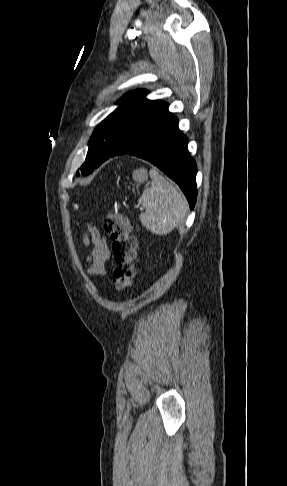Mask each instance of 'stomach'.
I'll list each match as a JSON object with an SVG mask.
<instances>
[{
	"mask_svg": "<svg viewBox=\"0 0 287 486\" xmlns=\"http://www.w3.org/2000/svg\"><path fill=\"white\" fill-rule=\"evenodd\" d=\"M148 178L147 171L144 168H140L133 171V179L138 183H144Z\"/></svg>",
	"mask_w": 287,
	"mask_h": 486,
	"instance_id": "obj_1",
	"label": "stomach"
}]
</instances>
